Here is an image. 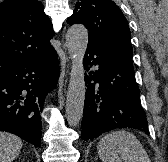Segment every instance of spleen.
<instances>
[{"instance_id": "1", "label": "spleen", "mask_w": 168, "mask_h": 162, "mask_svg": "<svg viewBox=\"0 0 168 162\" xmlns=\"http://www.w3.org/2000/svg\"><path fill=\"white\" fill-rule=\"evenodd\" d=\"M97 150L102 162H151L136 136L125 130L106 134Z\"/></svg>"}]
</instances>
